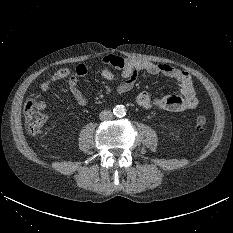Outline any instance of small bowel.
Segmentation results:
<instances>
[{"mask_svg": "<svg viewBox=\"0 0 233 233\" xmlns=\"http://www.w3.org/2000/svg\"><path fill=\"white\" fill-rule=\"evenodd\" d=\"M101 63L106 67L100 70V75L104 80L117 81L120 83L115 88V95L121 96L133 89L137 73L140 71L151 75H163L177 82L180 87L179 95H165L156 97L149 92L143 91L136 96V102L144 109L157 112H183L194 109L198 104V98L193 86L191 75L183 70L175 68L168 64H157L151 61L123 57L114 54L105 55ZM108 67L118 71L113 72ZM91 68L89 63H80L75 69L62 68L54 72L50 78L40 85V90L46 93L50 88L60 80H68V89L73 99L79 105H86L88 100L79 89V79L85 76Z\"/></svg>", "mask_w": 233, "mask_h": 233, "instance_id": "1", "label": "small bowel"}]
</instances>
